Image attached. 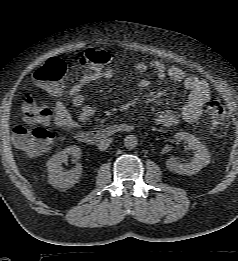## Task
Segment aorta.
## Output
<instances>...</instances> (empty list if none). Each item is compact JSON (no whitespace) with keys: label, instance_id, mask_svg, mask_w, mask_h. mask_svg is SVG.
<instances>
[{"label":"aorta","instance_id":"obj_1","mask_svg":"<svg viewBox=\"0 0 238 261\" xmlns=\"http://www.w3.org/2000/svg\"><path fill=\"white\" fill-rule=\"evenodd\" d=\"M138 144V139L135 135H127L124 138V146L128 149H133L137 146Z\"/></svg>","mask_w":238,"mask_h":261}]
</instances>
